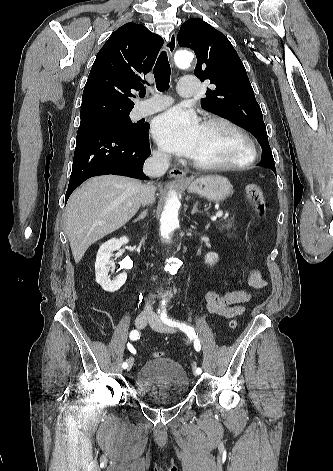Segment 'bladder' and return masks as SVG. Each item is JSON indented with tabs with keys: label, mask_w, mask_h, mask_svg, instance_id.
I'll return each instance as SVG.
<instances>
[{
	"label": "bladder",
	"mask_w": 333,
	"mask_h": 471,
	"mask_svg": "<svg viewBox=\"0 0 333 471\" xmlns=\"http://www.w3.org/2000/svg\"><path fill=\"white\" fill-rule=\"evenodd\" d=\"M189 385L184 367L164 356L144 362L135 376L137 396L148 404H176L187 396Z\"/></svg>",
	"instance_id": "obj_1"
}]
</instances>
